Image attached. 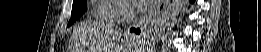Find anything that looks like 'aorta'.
<instances>
[{"instance_id":"obj_1","label":"aorta","mask_w":261,"mask_h":52,"mask_svg":"<svg viewBox=\"0 0 261 52\" xmlns=\"http://www.w3.org/2000/svg\"><path fill=\"white\" fill-rule=\"evenodd\" d=\"M184 3V0H172V3L157 17L151 28V33L154 38L158 37L172 24L181 12Z\"/></svg>"}]
</instances>
